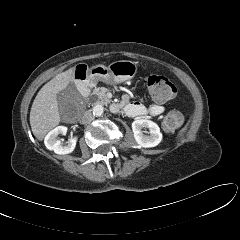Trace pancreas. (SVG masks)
Here are the masks:
<instances>
[{
    "instance_id": "obj_1",
    "label": "pancreas",
    "mask_w": 240,
    "mask_h": 240,
    "mask_svg": "<svg viewBox=\"0 0 240 240\" xmlns=\"http://www.w3.org/2000/svg\"><path fill=\"white\" fill-rule=\"evenodd\" d=\"M107 89L104 87L95 88L92 95H96L102 104H108L110 100L106 96ZM87 103L90 104V100L87 99Z\"/></svg>"
}]
</instances>
